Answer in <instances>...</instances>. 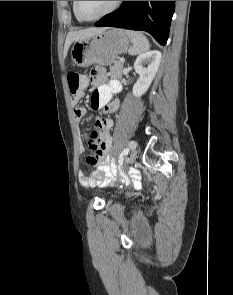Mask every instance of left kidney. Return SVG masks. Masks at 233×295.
Masks as SVG:
<instances>
[{
    "label": "left kidney",
    "instance_id": "obj_1",
    "mask_svg": "<svg viewBox=\"0 0 233 295\" xmlns=\"http://www.w3.org/2000/svg\"><path fill=\"white\" fill-rule=\"evenodd\" d=\"M162 54L158 50H151L140 54L134 62V69L139 79L133 86V95L140 97L150 87L160 65ZM147 64V67L145 65Z\"/></svg>",
    "mask_w": 233,
    "mask_h": 295
}]
</instances>
